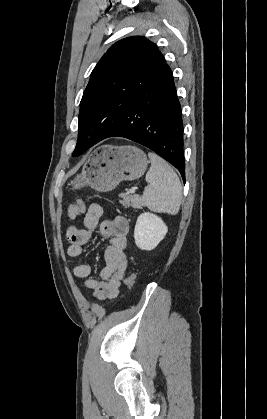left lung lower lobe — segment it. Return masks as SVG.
Here are the masks:
<instances>
[{"label":"left lung lower lobe","mask_w":267,"mask_h":419,"mask_svg":"<svg viewBox=\"0 0 267 419\" xmlns=\"http://www.w3.org/2000/svg\"><path fill=\"white\" fill-rule=\"evenodd\" d=\"M109 137L148 147L176 167L185 181L182 113L166 62L124 112L102 122L90 147Z\"/></svg>","instance_id":"0a47b994"}]
</instances>
